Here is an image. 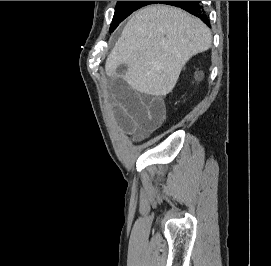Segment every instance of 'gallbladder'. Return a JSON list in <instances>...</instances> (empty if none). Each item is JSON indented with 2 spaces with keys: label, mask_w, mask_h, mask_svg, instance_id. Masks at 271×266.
<instances>
[{
  "label": "gallbladder",
  "mask_w": 271,
  "mask_h": 266,
  "mask_svg": "<svg viewBox=\"0 0 271 266\" xmlns=\"http://www.w3.org/2000/svg\"><path fill=\"white\" fill-rule=\"evenodd\" d=\"M125 69H126V67L124 65H120L118 67L117 71L120 73V72H123Z\"/></svg>",
  "instance_id": "obj_1"
}]
</instances>
